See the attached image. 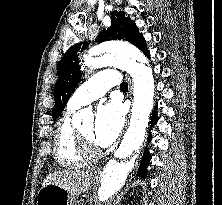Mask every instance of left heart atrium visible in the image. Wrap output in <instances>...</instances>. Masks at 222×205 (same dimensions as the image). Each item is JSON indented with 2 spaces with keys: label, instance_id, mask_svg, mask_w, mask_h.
<instances>
[{
  "label": "left heart atrium",
  "instance_id": "1",
  "mask_svg": "<svg viewBox=\"0 0 222 205\" xmlns=\"http://www.w3.org/2000/svg\"><path fill=\"white\" fill-rule=\"evenodd\" d=\"M124 124V111L117 101L101 104L97 109L94 123V142L106 147L112 144L119 136Z\"/></svg>",
  "mask_w": 222,
  "mask_h": 205
}]
</instances>
